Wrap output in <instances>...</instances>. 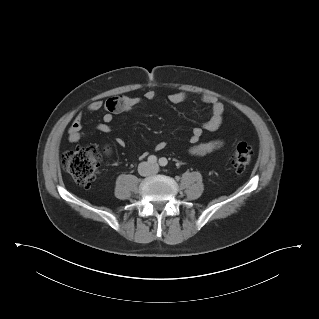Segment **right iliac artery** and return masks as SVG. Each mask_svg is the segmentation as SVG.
Masks as SVG:
<instances>
[{"label":"right iliac artery","instance_id":"obj_1","mask_svg":"<svg viewBox=\"0 0 319 319\" xmlns=\"http://www.w3.org/2000/svg\"><path fill=\"white\" fill-rule=\"evenodd\" d=\"M148 162L151 163V164L156 163L157 162L156 156H154V155L149 156L148 157Z\"/></svg>","mask_w":319,"mask_h":319}]
</instances>
